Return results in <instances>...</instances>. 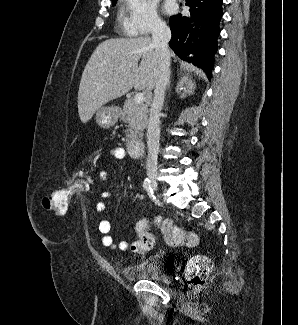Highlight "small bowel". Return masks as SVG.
I'll list each match as a JSON object with an SVG mask.
<instances>
[{
  "mask_svg": "<svg viewBox=\"0 0 298 325\" xmlns=\"http://www.w3.org/2000/svg\"><path fill=\"white\" fill-rule=\"evenodd\" d=\"M109 154L111 157H113L117 160L125 159L127 156L125 150L122 147L112 148L109 151ZM99 178L102 181H108L110 179V174L106 170H101L99 172ZM110 196H111V194L109 191H103L101 193L102 198H109ZM135 199L143 201L144 197L141 194H136L134 197V200ZM105 210H106V205L103 201H100L96 204V211L98 213H103ZM98 230H99L100 234L102 235L101 243L103 246L109 247L112 249L118 247L121 250H126L128 248V243L126 241H121L118 245L115 244L114 239H113L112 235L110 234L111 223L108 220H102L99 223Z\"/></svg>",
  "mask_w": 298,
  "mask_h": 325,
  "instance_id": "small-bowel-1",
  "label": "small bowel"
}]
</instances>
